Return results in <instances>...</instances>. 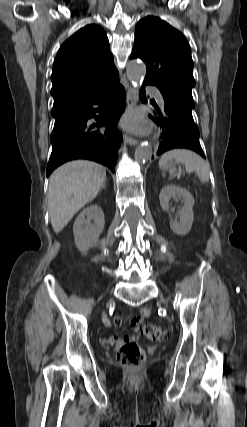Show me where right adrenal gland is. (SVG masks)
I'll use <instances>...</instances> for the list:
<instances>
[{"label":"right adrenal gland","instance_id":"2a0ac1e0","mask_svg":"<svg viewBox=\"0 0 247 427\" xmlns=\"http://www.w3.org/2000/svg\"><path fill=\"white\" fill-rule=\"evenodd\" d=\"M102 188H106V183H104V184L102 185Z\"/></svg>","mask_w":247,"mask_h":427}]
</instances>
